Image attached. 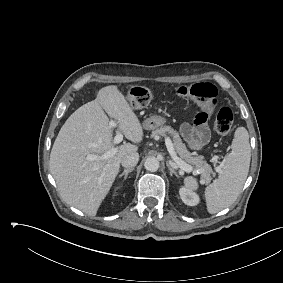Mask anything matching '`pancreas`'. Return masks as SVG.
<instances>
[{"instance_id": "obj_1", "label": "pancreas", "mask_w": 283, "mask_h": 283, "mask_svg": "<svg viewBox=\"0 0 283 283\" xmlns=\"http://www.w3.org/2000/svg\"><path fill=\"white\" fill-rule=\"evenodd\" d=\"M160 135L166 137L169 135L173 141V147L176 150V153L179 156V159L193 166L195 172L201 174V182L209 183L211 181V167L204 161L203 156H195L194 153H191L186 145L182 142V139L179 136L178 131L174 130L170 126H163L152 131V136Z\"/></svg>"}]
</instances>
